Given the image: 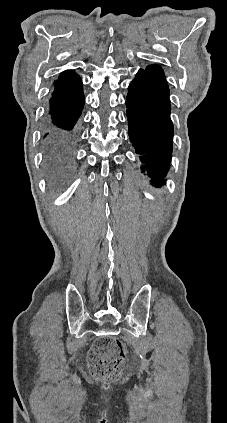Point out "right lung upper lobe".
Masks as SVG:
<instances>
[{"instance_id":"cb5924a9","label":"right lung upper lobe","mask_w":227,"mask_h":423,"mask_svg":"<svg viewBox=\"0 0 227 423\" xmlns=\"http://www.w3.org/2000/svg\"><path fill=\"white\" fill-rule=\"evenodd\" d=\"M56 90L62 92L79 93L82 91V82L72 71L60 75L59 80L55 82Z\"/></svg>"}]
</instances>
